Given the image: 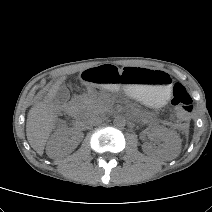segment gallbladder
Returning a JSON list of instances; mask_svg holds the SVG:
<instances>
[{
	"label": "gallbladder",
	"mask_w": 212,
	"mask_h": 212,
	"mask_svg": "<svg viewBox=\"0 0 212 212\" xmlns=\"http://www.w3.org/2000/svg\"><path fill=\"white\" fill-rule=\"evenodd\" d=\"M69 97H70L69 90L65 87H60L56 92L54 101L57 104H64L65 102L68 101Z\"/></svg>",
	"instance_id": "bac80fb5"
}]
</instances>
